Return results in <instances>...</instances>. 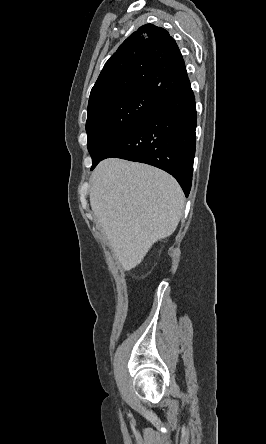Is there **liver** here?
<instances>
[{
  "mask_svg": "<svg viewBox=\"0 0 266 444\" xmlns=\"http://www.w3.org/2000/svg\"><path fill=\"white\" fill-rule=\"evenodd\" d=\"M90 183L92 211L125 271L170 236L183 215L181 187L158 168L110 158L98 164Z\"/></svg>",
  "mask_w": 266,
  "mask_h": 444,
  "instance_id": "6515ba94",
  "label": "liver"
}]
</instances>
